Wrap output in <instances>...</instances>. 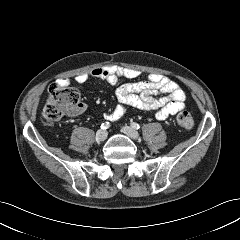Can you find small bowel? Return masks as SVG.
<instances>
[{"mask_svg": "<svg viewBox=\"0 0 240 240\" xmlns=\"http://www.w3.org/2000/svg\"><path fill=\"white\" fill-rule=\"evenodd\" d=\"M139 71L118 66H101L83 73L75 78L76 83L84 84L90 78H97L116 87L115 95L119 105L111 112L105 114L110 121L121 119L128 107L156 111V118L165 120L184 108L185 93L172 79L161 75L151 74L147 80L123 83V79H135ZM57 83L69 85L70 79L62 77Z\"/></svg>", "mask_w": 240, "mask_h": 240, "instance_id": "obj_1", "label": "small bowel"}]
</instances>
